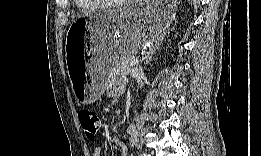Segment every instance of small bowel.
I'll use <instances>...</instances> for the list:
<instances>
[{
	"instance_id": "1",
	"label": "small bowel",
	"mask_w": 261,
	"mask_h": 156,
	"mask_svg": "<svg viewBox=\"0 0 261 156\" xmlns=\"http://www.w3.org/2000/svg\"><path fill=\"white\" fill-rule=\"evenodd\" d=\"M123 90V83L120 81H111L107 86V93L110 96H116ZM115 147L118 149L121 156H126L128 154V142L127 141H113ZM102 149L97 146L92 152V156H101Z\"/></svg>"
}]
</instances>
